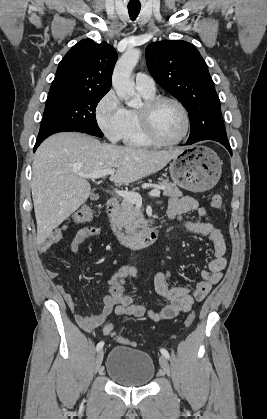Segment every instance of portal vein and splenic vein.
<instances>
[{
  "label": "portal vein and splenic vein",
  "instance_id": "18ae733b",
  "mask_svg": "<svg viewBox=\"0 0 267 419\" xmlns=\"http://www.w3.org/2000/svg\"><path fill=\"white\" fill-rule=\"evenodd\" d=\"M115 171L112 168H106V169H102V170H98L95 171L91 174H84L81 173L80 176L83 178H90V179H95V178H101L104 177L106 175H114ZM114 192L122 197L125 200H128L129 202L136 204V205H141L142 204V197L140 194L135 193V192H130V191H123V190H114ZM149 195L152 197H159L160 196V189L159 188H155L152 191L149 192Z\"/></svg>",
  "mask_w": 267,
  "mask_h": 419
}]
</instances>
